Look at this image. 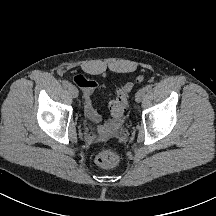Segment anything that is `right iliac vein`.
<instances>
[{
	"label": "right iliac vein",
	"instance_id": "63e3f726",
	"mask_svg": "<svg viewBox=\"0 0 216 216\" xmlns=\"http://www.w3.org/2000/svg\"><path fill=\"white\" fill-rule=\"evenodd\" d=\"M68 91L72 97L76 98L78 96V89L74 85H70Z\"/></svg>",
	"mask_w": 216,
	"mask_h": 216
}]
</instances>
